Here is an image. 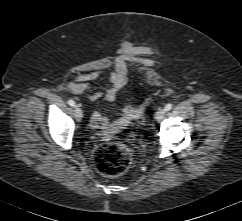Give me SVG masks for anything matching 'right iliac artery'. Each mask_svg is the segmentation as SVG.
<instances>
[{
	"label": "right iliac artery",
	"mask_w": 242,
	"mask_h": 221,
	"mask_svg": "<svg viewBox=\"0 0 242 221\" xmlns=\"http://www.w3.org/2000/svg\"><path fill=\"white\" fill-rule=\"evenodd\" d=\"M68 104H69L70 106H72V107L75 106V102H74V100H72V99L68 100Z\"/></svg>",
	"instance_id": "right-iliac-artery-1"
}]
</instances>
